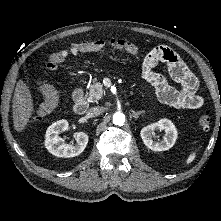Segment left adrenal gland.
Wrapping results in <instances>:
<instances>
[{"label":"left adrenal gland","mask_w":221,"mask_h":221,"mask_svg":"<svg viewBox=\"0 0 221 221\" xmlns=\"http://www.w3.org/2000/svg\"><path fill=\"white\" fill-rule=\"evenodd\" d=\"M142 113H145V111L142 110V111L135 112V111L132 110V117H134L135 119H138L139 115L142 114Z\"/></svg>","instance_id":"obj_1"}]
</instances>
